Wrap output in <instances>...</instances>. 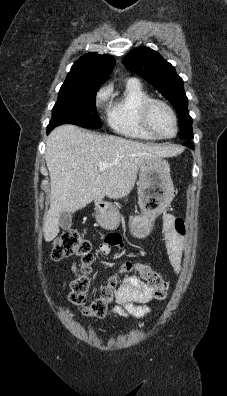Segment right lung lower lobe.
<instances>
[{
  "mask_svg": "<svg viewBox=\"0 0 227 396\" xmlns=\"http://www.w3.org/2000/svg\"><path fill=\"white\" fill-rule=\"evenodd\" d=\"M53 128L47 127V133H49Z\"/></svg>",
  "mask_w": 227,
  "mask_h": 396,
  "instance_id": "98d812e1",
  "label": "right lung lower lobe"
}]
</instances>
